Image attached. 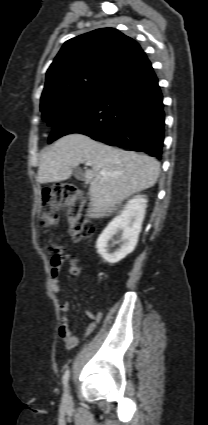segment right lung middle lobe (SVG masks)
Segmentation results:
<instances>
[{
  "mask_svg": "<svg viewBox=\"0 0 208 425\" xmlns=\"http://www.w3.org/2000/svg\"><path fill=\"white\" fill-rule=\"evenodd\" d=\"M105 92V89H85L41 102L42 118L49 126H54L62 117L77 113L96 103Z\"/></svg>",
  "mask_w": 208,
  "mask_h": 425,
  "instance_id": "obj_1",
  "label": "right lung middle lobe"
}]
</instances>
